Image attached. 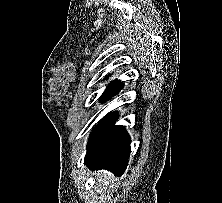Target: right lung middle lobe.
Wrapping results in <instances>:
<instances>
[{"label":"right lung middle lobe","mask_w":222,"mask_h":203,"mask_svg":"<svg viewBox=\"0 0 222 203\" xmlns=\"http://www.w3.org/2000/svg\"><path fill=\"white\" fill-rule=\"evenodd\" d=\"M112 96L113 94L103 93L102 96L100 97V101L105 102L109 100Z\"/></svg>","instance_id":"obj_1"}]
</instances>
